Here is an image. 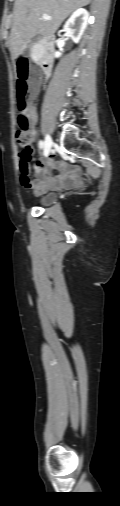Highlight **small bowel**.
<instances>
[{
    "instance_id": "c3829d8e",
    "label": "small bowel",
    "mask_w": 120,
    "mask_h": 506,
    "mask_svg": "<svg viewBox=\"0 0 120 506\" xmlns=\"http://www.w3.org/2000/svg\"><path fill=\"white\" fill-rule=\"evenodd\" d=\"M40 88V82H34L32 85L31 99L35 97ZM30 115L32 123L36 122L37 115L33 108H30ZM33 139L35 138V130L32 129ZM33 169L36 172L37 177L32 180L29 175L30 165L28 173H21L20 182L22 187L26 189H32L35 194H41L48 189H72L80 185V178L78 172L67 171L66 164L59 160H53L49 167H45L42 160H37L33 165ZM53 170L60 172L59 175H54Z\"/></svg>"
}]
</instances>
